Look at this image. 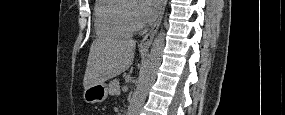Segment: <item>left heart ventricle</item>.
I'll return each instance as SVG.
<instances>
[{"label":"left heart ventricle","mask_w":285,"mask_h":115,"mask_svg":"<svg viewBox=\"0 0 285 115\" xmlns=\"http://www.w3.org/2000/svg\"><path fill=\"white\" fill-rule=\"evenodd\" d=\"M128 8L132 14H135L137 12V6L136 5H130Z\"/></svg>","instance_id":"1"}]
</instances>
